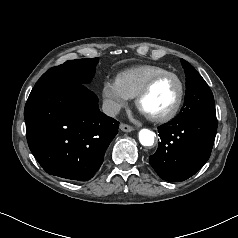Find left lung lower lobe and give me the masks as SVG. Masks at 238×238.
Instances as JSON below:
<instances>
[{
  "mask_svg": "<svg viewBox=\"0 0 238 238\" xmlns=\"http://www.w3.org/2000/svg\"><path fill=\"white\" fill-rule=\"evenodd\" d=\"M217 131L216 112L177 116L158 127L161 141L150 164L166 181L180 182L193 176L209 159Z\"/></svg>",
  "mask_w": 238,
  "mask_h": 238,
  "instance_id": "left-lung-lower-lobe-1",
  "label": "left lung lower lobe"
}]
</instances>
